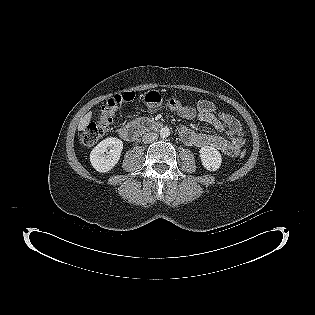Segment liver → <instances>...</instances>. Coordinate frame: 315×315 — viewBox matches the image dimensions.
Returning <instances> with one entry per match:
<instances>
[{"mask_svg":"<svg viewBox=\"0 0 315 315\" xmlns=\"http://www.w3.org/2000/svg\"><path fill=\"white\" fill-rule=\"evenodd\" d=\"M91 117H92V112L90 111L83 118H81L79 125H78L79 131L84 130L88 126V124L91 121Z\"/></svg>","mask_w":315,"mask_h":315,"instance_id":"obj_1","label":"liver"}]
</instances>
